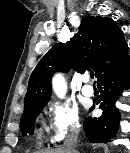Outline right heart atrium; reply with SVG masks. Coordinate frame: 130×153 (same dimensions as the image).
<instances>
[{"instance_id": "right-heart-atrium-1", "label": "right heart atrium", "mask_w": 130, "mask_h": 153, "mask_svg": "<svg viewBox=\"0 0 130 153\" xmlns=\"http://www.w3.org/2000/svg\"><path fill=\"white\" fill-rule=\"evenodd\" d=\"M50 132L51 142L58 144L77 133L80 128L78 109L61 101H54L50 105Z\"/></svg>"}]
</instances>
